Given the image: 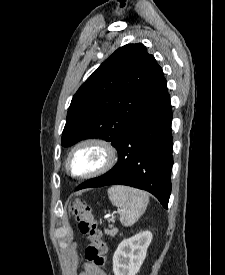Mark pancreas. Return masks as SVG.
<instances>
[{
  "instance_id": "cf45deb5",
  "label": "pancreas",
  "mask_w": 225,
  "mask_h": 275,
  "mask_svg": "<svg viewBox=\"0 0 225 275\" xmlns=\"http://www.w3.org/2000/svg\"><path fill=\"white\" fill-rule=\"evenodd\" d=\"M110 228H111L110 230L109 229L104 230L105 234L110 236H115L117 234L118 229L114 228L113 225H111Z\"/></svg>"
}]
</instances>
